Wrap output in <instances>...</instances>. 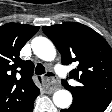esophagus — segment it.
I'll list each match as a JSON object with an SVG mask.
<instances>
[{"label":"esophagus","instance_id":"esophagus-1","mask_svg":"<svg viewBox=\"0 0 112 112\" xmlns=\"http://www.w3.org/2000/svg\"><path fill=\"white\" fill-rule=\"evenodd\" d=\"M44 87L49 92H54L58 89L59 85L56 79L48 72L46 76L43 77Z\"/></svg>","mask_w":112,"mask_h":112}]
</instances>
